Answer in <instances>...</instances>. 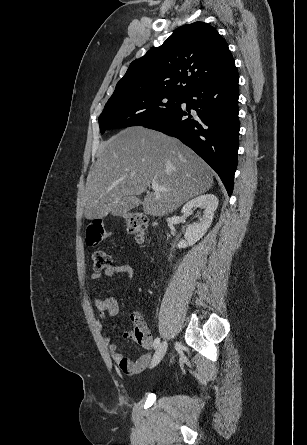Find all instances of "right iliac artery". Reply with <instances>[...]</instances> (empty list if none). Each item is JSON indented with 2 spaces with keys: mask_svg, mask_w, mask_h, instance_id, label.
Instances as JSON below:
<instances>
[{
  "mask_svg": "<svg viewBox=\"0 0 307 445\" xmlns=\"http://www.w3.org/2000/svg\"><path fill=\"white\" fill-rule=\"evenodd\" d=\"M159 344H160V339L156 338L153 343L154 348H157L159 346Z\"/></svg>",
  "mask_w": 307,
  "mask_h": 445,
  "instance_id": "82829eb1",
  "label": "right iliac artery"
}]
</instances>
